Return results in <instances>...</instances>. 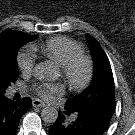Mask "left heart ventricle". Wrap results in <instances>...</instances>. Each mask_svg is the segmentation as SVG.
<instances>
[{
    "mask_svg": "<svg viewBox=\"0 0 135 135\" xmlns=\"http://www.w3.org/2000/svg\"><path fill=\"white\" fill-rule=\"evenodd\" d=\"M83 74H84V68L83 66H79L75 72V76L77 79H81L83 77ZM60 75H61V71H60Z\"/></svg>",
    "mask_w": 135,
    "mask_h": 135,
    "instance_id": "b2bd125f",
    "label": "left heart ventricle"
}]
</instances>
